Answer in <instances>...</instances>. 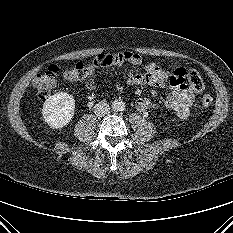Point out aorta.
Wrapping results in <instances>:
<instances>
[{
	"label": "aorta",
	"instance_id": "obj_1",
	"mask_svg": "<svg viewBox=\"0 0 233 233\" xmlns=\"http://www.w3.org/2000/svg\"><path fill=\"white\" fill-rule=\"evenodd\" d=\"M125 103L121 100H114L112 102V109L115 111H122L124 110Z\"/></svg>",
	"mask_w": 233,
	"mask_h": 233
}]
</instances>
